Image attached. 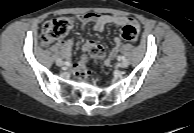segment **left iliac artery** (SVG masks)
I'll return each mask as SVG.
<instances>
[{
    "instance_id": "1",
    "label": "left iliac artery",
    "mask_w": 194,
    "mask_h": 133,
    "mask_svg": "<svg viewBox=\"0 0 194 133\" xmlns=\"http://www.w3.org/2000/svg\"><path fill=\"white\" fill-rule=\"evenodd\" d=\"M118 60H125V57L124 56H119Z\"/></svg>"
}]
</instances>
